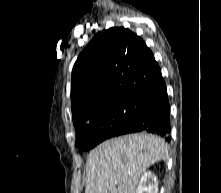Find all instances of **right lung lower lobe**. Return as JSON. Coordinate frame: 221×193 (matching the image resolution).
I'll list each match as a JSON object with an SVG mask.
<instances>
[{"label": "right lung lower lobe", "mask_w": 221, "mask_h": 193, "mask_svg": "<svg viewBox=\"0 0 221 193\" xmlns=\"http://www.w3.org/2000/svg\"><path fill=\"white\" fill-rule=\"evenodd\" d=\"M170 107L166 84L160 76L145 98L144 109L130 124L119 129L114 136L135 132L155 133L170 142Z\"/></svg>", "instance_id": "1"}]
</instances>
